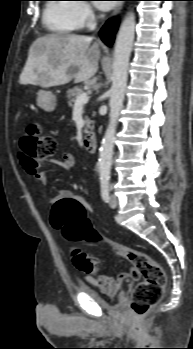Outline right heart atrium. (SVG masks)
Returning a JSON list of instances; mask_svg holds the SVG:
<instances>
[{
  "mask_svg": "<svg viewBox=\"0 0 193 349\" xmlns=\"http://www.w3.org/2000/svg\"><path fill=\"white\" fill-rule=\"evenodd\" d=\"M75 12L81 25H87L94 19V12L86 1H78L75 3Z\"/></svg>",
  "mask_w": 193,
  "mask_h": 349,
  "instance_id": "1",
  "label": "right heart atrium"
}]
</instances>
